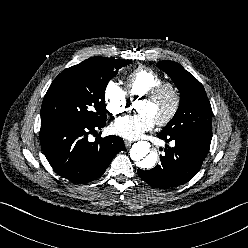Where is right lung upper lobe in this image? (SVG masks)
Wrapping results in <instances>:
<instances>
[{
  "label": "right lung upper lobe",
  "mask_w": 248,
  "mask_h": 248,
  "mask_svg": "<svg viewBox=\"0 0 248 248\" xmlns=\"http://www.w3.org/2000/svg\"><path fill=\"white\" fill-rule=\"evenodd\" d=\"M97 58H99V57H98V56H96V57H92V58L87 59L86 61L95 60V59H97Z\"/></svg>",
  "instance_id": "obj_1"
}]
</instances>
